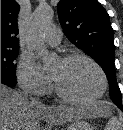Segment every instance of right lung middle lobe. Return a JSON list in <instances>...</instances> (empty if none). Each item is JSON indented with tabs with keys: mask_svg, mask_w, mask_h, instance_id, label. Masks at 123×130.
<instances>
[{
	"mask_svg": "<svg viewBox=\"0 0 123 130\" xmlns=\"http://www.w3.org/2000/svg\"><path fill=\"white\" fill-rule=\"evenodd\" d=\"M18 50L1 48V77L9 79L11 81H16L15 79V68L16 64L14 60L18 56Z\"/></svg>",
	"mask_w": 123,
	"mask_h": 130,
	"instance_id": "1",
	"label": "right lung middle lobe"
}]
</instances>
